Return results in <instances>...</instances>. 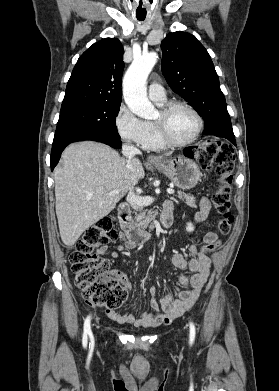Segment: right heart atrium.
Instances as JSON below:
<instances>
[{
	"label": "right heart atrium",
	"instance_id": "obj_1",
	"mask_svg": "<svg viewBox=\"0 0 279 391\" xmlns=\"http://www.w3.org/2000/svg\"><path fill=\"white\" fill-rule=\"evenodd\" d=\"M115 128L124 141L142 145L146 135L145 122L138 118L126 105H121L115 116Z\"/></svg>",
	"mask_w": 279,
	"mask_h": 391
}]
</instances>
